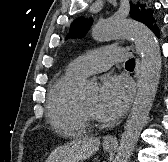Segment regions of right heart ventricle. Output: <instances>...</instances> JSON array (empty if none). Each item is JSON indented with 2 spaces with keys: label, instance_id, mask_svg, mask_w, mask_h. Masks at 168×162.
I'll use <instances>...</instances> for the list:
<instances>
[{
  "label": "right heart ventricle",
  "instance_id": "obj_1",
  "mask_svg": "<svg viewBox=\"0 0 168 162\" xmlns=\"http://www.w3.org/2000/svg\"><path fill=\"white\" fill-rule=\"evenodd\" d=\"M81 79L67 68L54 79L49 90L47 115L55 131L64 136H81L88 129L78 108L77 86Z\"/></svg>",
  "mask_w": 168,
  "mask_h": 162
}]
</instances>
